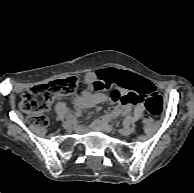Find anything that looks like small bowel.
<instances>
[{
  "label": "small bowel",
  "mask_w": 194,
  "mask_h": 193,
  "mask_svg": "<svg viewBox=\"0 0 194 193\" xmlns=\"http://www.w3.org/2000/svg\"><path fill=\"white\" fill-rule=\"evenodd\" d=\"M120 75L118 69L106 68L98 71L88 72L83 78L84 89L82 92L73 99V104L76 109L91 108L95 106H100L105 102L109 101L107 95L102 93L104 82L109 78H117ZM148 87L152 86L142 78H137V86L134 91L137 93H144L147 91ZM153 89V88H152ZM132 111V106L130 103H120L113 111L106 113L95 121L97 127H102L106 131H110L111 127L108 122L118 116L126 115ZM135 115L139 116L141 114V109L137 108Z\"/></svg>",
  "instance_id": "c3829d8e"
}]
</instances>
